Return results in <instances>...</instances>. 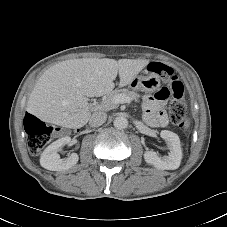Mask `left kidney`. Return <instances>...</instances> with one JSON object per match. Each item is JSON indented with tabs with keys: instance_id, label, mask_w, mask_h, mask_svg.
I'll use <instances>...</instances> for the list:
<instances>
[{
	"instance_id": "1",
	"label": "left kidney",
	"mask_w": 227,
	"mask_h": 227,
	"mask_svg": "<svg viewBox=\"0 0 227 227\" xmlns=\"http://www.w3.org/2000/svg\"><path fill=\"white\" fill-rule=\"evenodd\" d=\"M160 136L168 143L169 155L159 157L154 151H146L144 153V159L148 164L158 169L175 170L180 166L182 159L180 139L177 134L168 130H162Z\"/></svg>"
}]
</instances>
